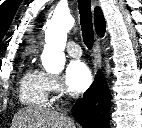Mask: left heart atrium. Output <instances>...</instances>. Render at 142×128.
Here are the masks:
<instances>
[{
	"mask_svg": "<svg viewBox=\"0 0 142 128\" xmlns=\"http://www.w3.org/2000/svg\"><path fill=\"white\" fill-rule=\"evenodd\" d=\"M91 82L90 70L84 62L75 60L68 64L64 74V83L71 92L81 93L90 86Z\"/></svg>",
	"mask_w": 142,
	"mask_h": 128,
	"instance_id": "1",
	"label": "left heart atrium"
}]
</instances>
